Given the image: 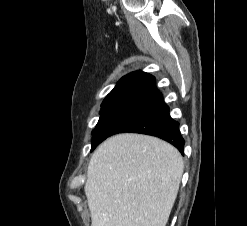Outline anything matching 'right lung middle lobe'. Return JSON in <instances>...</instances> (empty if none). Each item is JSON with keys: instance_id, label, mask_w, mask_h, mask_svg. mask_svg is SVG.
Listing matches in <instances>:
<instances>
[{"instance_id": "right-lung-middle-lobe-1", "label": "right lung middle lobe", "mask_w": 247, "mask_h": 226, "mask_svg": "<svg viewBox=\"0 0 247 226\" xmlns=\"http://www.w3.org/2000/svg\"><path fill=\"white\" fill-rule=\"evenodd\" d=\"M110 94H111V93H109V94L107 95V97L104 99V101H103L102 104H101L102 109H101V111H100V113H101V114H100V117H101L103 111L105 110V107H106V105H107V101H108V99H109Z\"/></svg>"}]
</instances>
